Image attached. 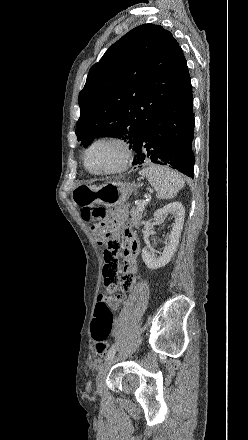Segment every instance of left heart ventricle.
<instances>
[{
  "label": "left heart ventricle",
  "mask_w": 248,
  "mask_h": 440,
  "mask_svg": "<svg viewBox=\"0 0 248 440\" xmlns=\"http://www.w3.org/2000/svg\"><path fill=\"white\" fill-rule=\"evenodd\" d=\"M121 159L120 148L113 143H101L89 152L88 167L94 171H103L114 167Z\"/></svg>",
  "instance_id": "obj_1"
}]
</instances>
